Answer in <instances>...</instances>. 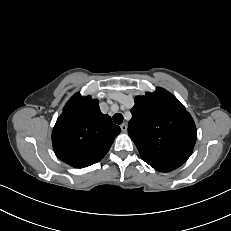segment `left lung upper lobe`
Segmentation results:
<instances>
[{"label": "left lung upper lobe", "instance_id": "obj_1", "mask_svg": "<svg viewBox=\"0 0 231 231\" xmlns=\"http://www.w3.org/2000/svg\"><path fill=\"white\" fill-rule=\"evenodd\" d=\"M128 134L141 158L155 170L170 172L187 161L197 138L195 123L170 92L135 97Z\"/></svg>", "mask_w": 231, "mask_h": 231}]
</instances>
